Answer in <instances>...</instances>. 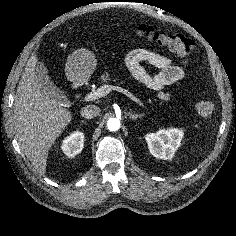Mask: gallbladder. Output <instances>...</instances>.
<instances>
[{
	"label": "gallbladder",
	"instance_id": "gallbladder-1",
	"mask_svg": "<svg viewBox=\"0 0 236 236\" xmlns=\"http://www.w3.org/2000/svg\"><path fill=\"white\" fill-rule=\"evenodd\" d=\"M35 78L40 85L41 91L55 99L57 102L62 103L64 100L63 92L55 86L48 75V70L43 62H38L34 70Z\"/></svg>",
	"mask_w": 236,
	"mask_h": 236
}]
</instances>
